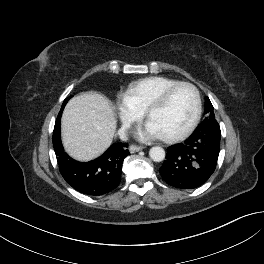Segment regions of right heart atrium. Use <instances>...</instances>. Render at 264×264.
Instances as JSON below:
<instances>
[{
  "label": "right heart atrium",
  "instance_id": "d8ad5b80",
  "mask_svg": "<svg viewBox=\"0 0 264 264\" xmlns=\"http://www.w3.org/2000/svg\"><path fill=\"white\" fill-rule=\"evenodd\" d=\"M118 114L122 127L128 130L131 125L143 116V111L130 104L125 97H122L117 105Z\"/></svg>",
  "mask_w": 264,
  "mask_h": 264
}]
</instances>
